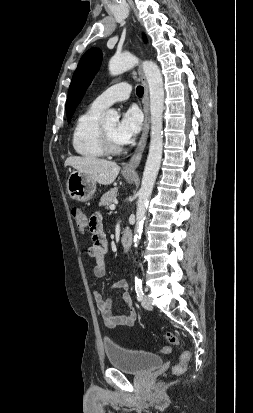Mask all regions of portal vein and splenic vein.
<instances>
[{
    "instance_id": "obj_1",
    "label": "portal vein and splenic vein",
    "mask_w": 253,
    "mask_h": 413,
    "mask_svg": "<svg viewBox=\"0 0 253 413\" xmlns=\"http://www.w3.org/2000/svg\"><path fill=\"white\" fill-rule=\"evenodd\" d=\"M109 208H110V210H114L116 208V206H115V204H111Z\"/></svg>"
}]
</instances>
